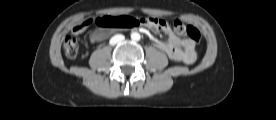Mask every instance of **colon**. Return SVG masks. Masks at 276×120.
Masks as SVG:
<instances>
[{
  "mask_svg": "<svg viewBox=\"0 0 276 120\" xmlns=\"http://www.w3.org/2000/svg\"><path fill=\"white\" fill-rule=\"evenodd\" d=\"M91 21L87 20L84 23L77 26L79 30H84ZM164 20L153 18V17H143L136 19L129 16H103L96 20L97 25L105 30L110 29H127L141 24H152L159 28L164 24ZM175 34L182 37H187L189 40L198 43L200 41V32L194 26H187L180 21L174 22ZM64 53L68 58H75L79 51V44L75 37L69 36L64 41Z\"/></svg>",
  "mask_w": 276,
  "mask_h": 120,
  "instance_id": "obj_1",
  "label": "colon"
}]
</instances>
